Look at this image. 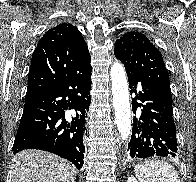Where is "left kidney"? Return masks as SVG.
<instances>
[{"mask_svg": "<svg viewBox=\"0 0 196 182\" xmlns=\"http://www.w3.org/2000/svg\"><path fill=\"white\" fill-rule=\"evenodd\" d=\"M127 182H138L137 179L133 176L128 177Z\"/></svg>", "mask_w": 196, "mask_h": 182, "instance_id": "1", "label": "left kidney"}]
</instances>
